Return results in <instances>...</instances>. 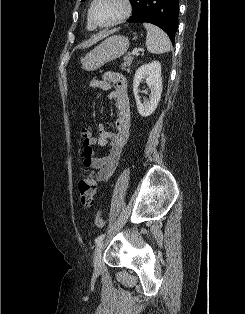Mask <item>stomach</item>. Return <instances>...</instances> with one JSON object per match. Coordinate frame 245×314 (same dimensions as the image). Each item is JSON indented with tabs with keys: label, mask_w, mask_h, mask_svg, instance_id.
Wrapping results in <instances>:
<instances>
[{
	"label": "stomach",
	"mask_w": 245,
	"mask_h": 314,
	"mask_svg": "<svg viewBox=\"0 0 245 314\" xmlns=\"http://www.w3.org/2000/svg\"><path fill=\"white\" fill-rule=\"evenodd\" d=\"M129 39L122 35H113L105 39L82 59V68L95 71L124 55L129 48Z\"/></svg>",
	"instance_id": "stomach-1"
}]
</instances>
